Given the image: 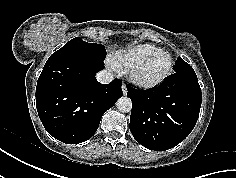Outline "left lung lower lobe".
Returning <instances> with one entry per match:
<instances>
[{
	"label": "left lung lower lobe",
	"mask_w": 236,
	"mask_h": 178,
	"mask_svg": "<svg viewBox=\"0 0 236 178\" xmlns=\"http://www.w3.org/2000/svg\"><path fill=\"white\" fill-rule=\"evenodd\" d=\"M132 101L130 130L142 146L164 151L183 141L194 128L202 93L196 74L175 73L143 91L127 87Z\"/></svg>",
	"instance_id": "1"
}]
</instances>
